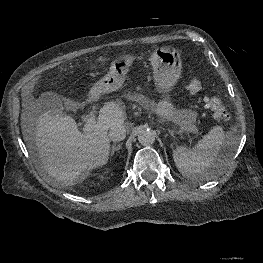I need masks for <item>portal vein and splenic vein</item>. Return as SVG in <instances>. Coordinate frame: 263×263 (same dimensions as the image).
<instances>
[{"instance_id": "portal-vein-and-splenic-vein-1", "label": "portal vein and splenic vein", "mask_w": 263, "mask_h": 263, "mask_svg": "<svg viewBox=\"0 0 263 263\" xmlns=\"http://www.w3.org/2000/svg\"><path fill=\"white\" fill-rule=\"evenodd\" d=\"M96 126V118L94 113H90L88 118H87V122L83 127V131L84 132H90L91 130L94 129V127Z\"/></svg>"}]
</instances>
